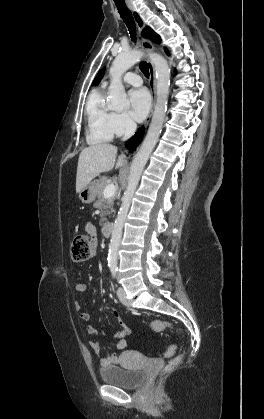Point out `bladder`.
I'll use <instances>...</instances> for the list:
<instances>
[{
  "mask_svg": "<svg viewBox=\"0 0 264 419\" xmlns=\"http://www.w3.org/2000/svg\"><path fill=\"white\" fill-rule=\"evenodd\" d=\"M100 376L106 384L125 389H134L144 381L145 372L141 369L123 366H108L100 370Z\"/></svg>",
  "mask_w": 264,
  "mask_h": 419,
  "instance_id": "1",
  "label": "bladder"
}]
</instances>
